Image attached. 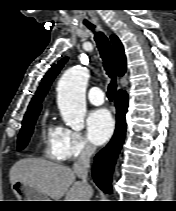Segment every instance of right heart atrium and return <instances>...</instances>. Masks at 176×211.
Segmentation results:
<instances>
[{
  "label": "right heart atrium",
  "instance_id": "1",
  "mask_svg": "<svg viewBox=\"0 0 176 211\" xmlns=\"http://www.w3.org/2000/svg\"><path fill=\"white\" fill-rule=\"evenodd\" d=\"M93 146L80 132L62 128L61 138L58 143L62 160H74L85 157L93 151Z\"/></svg>",
  "mask_w": 176,
  "mask_h": 211
}]
</instances>
